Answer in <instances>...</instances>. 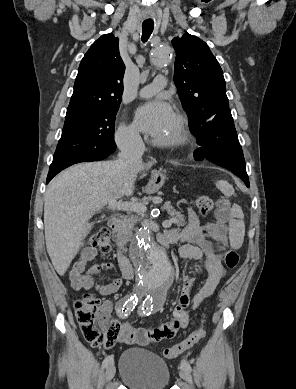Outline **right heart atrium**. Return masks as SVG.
I'll return each instance as SVG.
<instances>
[{
    "instance_id": "d8ad5b80",
    "label": "right heart atrium",
    "mask_w": 296,
    "mask_h": 389,
    "mask_svg": "<svg viewBox=\"0 0 296 389\" xmlns=\"http://www.w3.org/2000/svg\"><path fill=\"white\" fill-rule=\"evenodd\" d=\"M116 141L122 149H130L139 144L140 137L132 125L122 123L116 133Z\"/></svg>"
}]
</instances>
